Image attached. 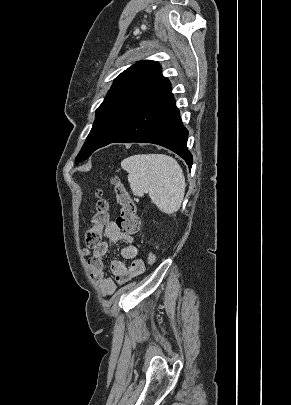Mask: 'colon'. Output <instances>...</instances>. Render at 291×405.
I'll list each match as a JSON object with an SVG mask.
<instances>
[{
	"label": "colon",
	"instance_id": "colon-1",
	"mask_svg": "<svg viewBox=\"0 0 291 405\" xmlns=\"http://www.w3.org/2000/svg\"><path fill=\"white\" fill-rule=\"evenodd\" d=\"M112 183L116 192V200L120 205V214L116 225L125 234H137L141 231L140 219L137 215L136 206L119 178H114ZM108 204L102 198L101 192H97L95 213L91 219V226L85 231L84 240L87 249H95L102 243L103 230L108 225ZM147 264L153 265L157 260L155 251L147 255Z\"/></svg>",
	"mask_w": 291,
	"mask_h": 405
}]
</instances>
